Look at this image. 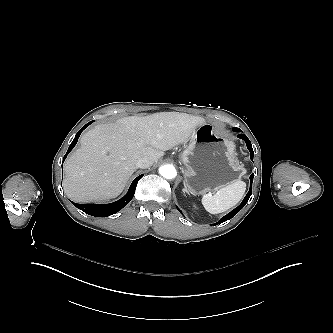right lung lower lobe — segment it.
Masks as SVG:
<instances>
[{"label": "right lung lower lobe", "mask_w": 333, "mask_h": 333, "mask_svg": "<svg viewBox=\"0 0 333 333\" xmlns=\"http://www.w3.org/2000/svg\"><path fill=\"white\" fill-rule=\"evenodd\" d=\"M93 121L87 123L75 136L74 140L72 141V143L70 144L67 153L65 154L63 160L66 158L67 154L74 148V146L76 145L78 138L81 134V132L87 127L89 126ZM143 175L138 176L137 178H135V180L132 182L127 194L122 197L121 199H119L116 202L110 203V204H76L74 202H72L77 208L81 209L83 212H85L86 214L92 215V216H96V217H107L110 216L112 214H115L116 212H118L119 210H121L123 207H125L133 198L134 193H135V189L137 186V183L139 181V179L142 177Z\"/></svg>", "instance_id": "right-lung-lower-lobe-1"}]
</instances>
